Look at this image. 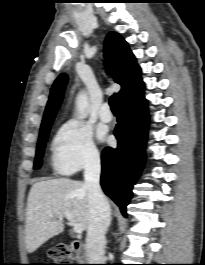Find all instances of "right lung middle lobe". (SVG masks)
I'll list each match as a JSON object with an SVG mask.
<instances>
[{
	"label": "right lung middle lobe",
	"instance_id": "obj_1",
	"mask_svg": "<svg viewBox=\"0 0 205 265\" xmlns=\"http://www.w3.org/2000/svg\"><path fill=\"white\" fill-rule=\"evenodd\" d=\"M50 127L51 125L43 128L40 131L39 141H38L37 150H36V158L34 162V169L40 168L41 166V163H42L41 158L43 156V152H44L45 144L48 138Z\"/></svg>",
	"mask_w": 205,
	"mask_h": 265
}]
</instances>
